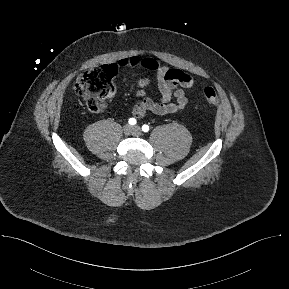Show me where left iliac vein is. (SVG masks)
Segmentation results:
<instances>
[{
  "label": "left iliac vein",
  "instance_id": "4c4485c4",
  "mask_svg": "<svg viewBox=\"0 0 289 289\" xmlns=\"http://www.w3.org/2000/svg\"><path fill=\"white\" fill-rule=\"evenodd\" d=\"M133 134L137 135V136L141 135V129H140L139 126H134L133 127Z\"/></svg>",
  "mask_w": 289,
  "mask_h": 289
}]
</instances>
